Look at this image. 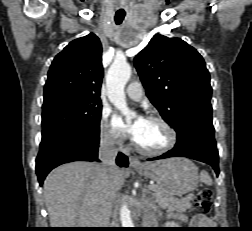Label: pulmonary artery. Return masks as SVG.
<instances>
[{"instance_id":"pulmonary-artery-1","label":"pulmonary artery","mask_w":252,"mask_h":231,"mask_svg":"<svg viewBox=\"0 0 252 231\" xmlns=\"http://www.w3.org/2000/svg\"><path fill=\"white\" fill-rule=\"evenodd\" d=\"M126 93L135 101H140L144 95L142 85L138 81L129 83L126 87Z\"/></svg>"}]
</instances>
